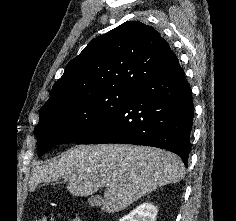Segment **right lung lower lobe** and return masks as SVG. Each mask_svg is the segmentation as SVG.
Instances as JSON below:
<instances>
[{
    "instance_id": "1",
    "label": "right lung lower lobe",
    "mask_w": 236,
    "mask_h": 221,
    "mask_svg": "<svg viewBox=\"0 0 236 221\" xmlns=\"http://www.w3.org/2000/svg\"><path fill=\"white\" fill-rule=\"evenodd\" d=\"M194 105L178 60L133 95L77 144L125 143L163 148L187 166Z\"/></svg>"
}]
</instances>
